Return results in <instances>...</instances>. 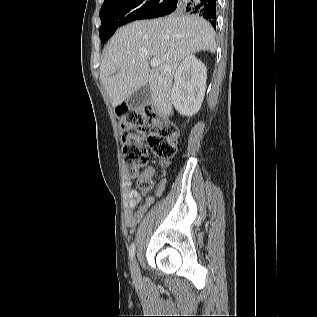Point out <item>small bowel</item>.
I'll list each match as a JSON object with an SVG mask.
<instances>
[{
	"label": "small bowel",
	"instance_id": "obj_1",
	"mask_svg": "<svg viewBox=\"0 0 317 317\" xmlns=\"http://www.w3.org/2000/svg\"><path fill=\"white\" fill-rule=\"evenodd\" d=\"M151 170H148L144 174L145 179H149L151 176ZM164 182L160 188V191L164 189ZM127 205H126V212H125V224L129 228H134L143 218L149 207L154 202L153 198H148L144 203H141V196L140 194L133 190L128 189L127 193ZM137 208L135 211L134 209Z\"/></svg>",
	"mask_w": 317,
	"mask_h": 317
}]
</instances>
